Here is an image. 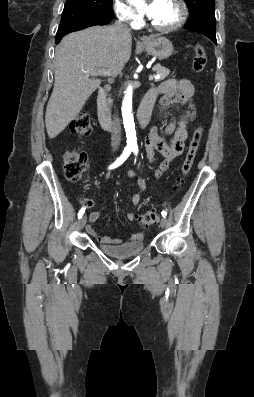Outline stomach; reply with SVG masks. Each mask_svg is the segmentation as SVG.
Here are the masks:
<instances>
[{
  "label": "stomach",
  "mask_w": 254,
  "mask_h": 397,
  "mask_svg": "<svg viewBox=\"0 0 254 397\" xmlns=\"http://www.w3.org/2000/svg\"><path fill=\"white\" fill-rule=\"evenodd\" d=\"M142 47L146 51L156 57L159 60H164L173 54V45L171 41L165 37L152 36L145 43H142Z\"/></svg>",
  "instance_id": "obj_1"
}]
</instances>
